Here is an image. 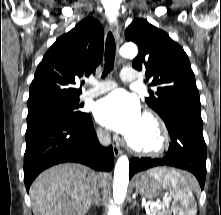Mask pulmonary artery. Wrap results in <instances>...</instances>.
I'll return each mask as SVG.
<instances>
[{"instance_id": "obj_1", "label": "pulmonary artery", "mask_w": 221, "mask_h": 215, "mask_svg": "<svg viewBox=\"0 0 221 215\" xmlns=\"http://www.w3.org/2000/svg\"><path fill=\"white\" fill-rule=\"evenodd\" d=\"M121 79L125 83H136L138 81L137 73L131 68H125L121 72ZM116 87V83L111 80H106L95 84V86L82 93L81 99H91L101 94H104Z\"/></svg>"}]
</instances>
